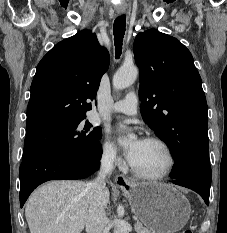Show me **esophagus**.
Listing matches in <instances>:
<instances>
[{
    "instance_id": "esophagus-1",
    "label": "esophagus",
    "mask_w": 227,
    "mask_h": 233,
    "mask_svg": "<svg viewBox=\"0 0 227 233\" xmlns=\"http://www.w3.org/2000/svg\"><path fill=\"white\" fill-rule=\"evenodd\" d=\"M124 9H117L116 13L117 15H122L124 13ZM115 183L117 184V186L119 187H127L130 185V181L128 179H126L123 175L118 174L115 178Z\"/></svg>"
}]
</instances>
